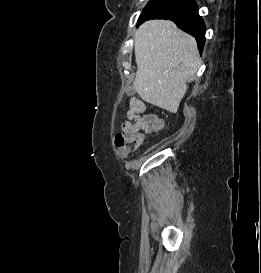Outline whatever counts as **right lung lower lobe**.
Masks as SVG:
<instances>
[{
	"mask_svg": "<svg viewBox=\"0 0 261 273\" xmlns=\"http://www.w3.org/2000/svg\"><path fill=\"white\" fill-rule=\"evenodd\" d=\"M168 5L172 8L166 12L150 16L141 20L137 26L150 19H168L186 33L195 37L198 48L202 52L205 43V25L198 14V8L194 0H167Z\"/></svg>",
	"mask_w": 261,
	"mask_h": 273,
	"instance_id": "1",
	"label": "right lung lower lobe"
}]
</instances>
